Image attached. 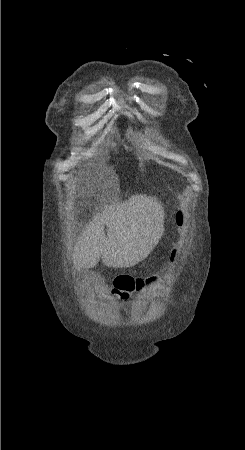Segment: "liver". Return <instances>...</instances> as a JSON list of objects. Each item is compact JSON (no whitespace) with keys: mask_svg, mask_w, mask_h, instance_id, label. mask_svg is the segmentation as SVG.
<instances>
[{"mask_svg":"<svg viewBox=\"0 0 245 450\" xmlns=\"http://www.w3.org/2000/svg\"><path fill=\"white\" fill-rule=\"evenodd\" d=\"M105 225L107 227L105 233ZM164 232V208L152 196L115 199L94 214L74 246L78 268H92L99 259L107 267H132L144 260Z\"/></svg>","mask_w":245,"mask_h":450,"instance_id":"6515ba94","label":"liver"}]
</instances>
